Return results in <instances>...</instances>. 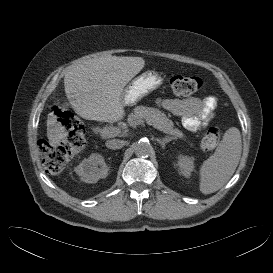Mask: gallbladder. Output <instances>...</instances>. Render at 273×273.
<instances>
[{"label":"gallbladder","mask_w":273,"mask_h":273,"mask_svg":"<svg viewBox=\"0 0 273 273\" xmlns=\"http://www.w3.org/2000/svg\"><path fill=\"white\" fill-rule=\"evenodd\" d=\"M59 105L64 108V109H68L70 107L69 104V99L67 97H64L60 102Z\"/></svg>","instance_id":"gallbladder-1"}]
</instances>
